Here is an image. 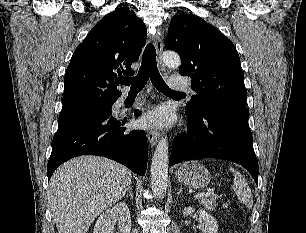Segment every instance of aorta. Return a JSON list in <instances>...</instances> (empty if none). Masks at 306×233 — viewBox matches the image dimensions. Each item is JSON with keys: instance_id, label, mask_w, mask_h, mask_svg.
Segmentation results:
<instances>
[{"instance_id": "obj_1", "label": "aorta", "mask_w": 306, "mask_h": 233, "mask_svg": "<svg viewBox=\"0 0 306 233\" xmlns=\"http://www.w3.org/2000/svg\"><path fill=\"white\" fill-rule=\"evenodd\" d=\"M162 59L164 64L170 68H178L181 65L179 55L172 51L164 52ZM168 162V142L166 137H162L155 149L151 163V187L154 194L159 198H163L166 193Z\"/></svg>"}]
</instances>
